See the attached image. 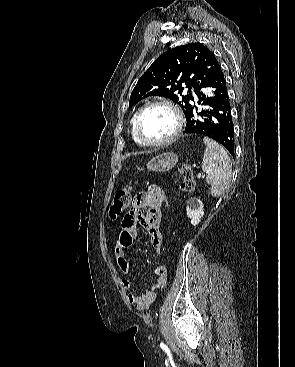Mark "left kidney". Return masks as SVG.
<instances>
[{
	"mask_svg": "<svg viewBox=\"0 0 295 367\" xmlns=\"http://www.w3.org/2000/svg\"><path fill=\"white\" fill-rule=\"evenodd\" d=\"M203 207V203L200 199L190 198L187 201V216L191 219L192 225L196 226L201 221V218L204 215Z\"/></svg>",
	"mask_w": 295,
	"mask_h": 367,
	"instance_id": "1",
	"label": "left kidney"
}]
</instances>
